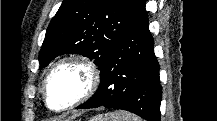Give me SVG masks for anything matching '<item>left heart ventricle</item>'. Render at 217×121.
Wrapping results in <instances>:
<instances>
[{
    "label": "left heart ventricle",
    "instance_id": "left-heart-ventricle-1",
    "mask_svg": "<svg viewBox=\"0 0 217 121\" xmlns=\"http://www.w3.org/2000/svg\"><path fill=\"white\" fill-rule=\"evenodd\" d=\"M88 75L80 67L67 66L59 69L49 83L50 104L61 108L74 101L86 88Z\"/></svg>",
    "mask_w": 217,
    "mask_h": 121
}]
</instances>
